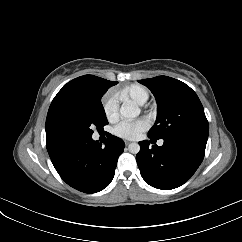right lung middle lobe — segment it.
<instances>
[{"label": "right lung middle lobe", "instance_id": "right-lung-middle-lobe-1", "mask_svg": "<svg viewBox=\"0 0 242 242\" xmlns=\"http://www.w3.org/2000/svg\"><path fill=\"white\" fill-rule=\"evenodd\" d=\"M105 93L93 97L63 96L52 101L46 119V133L53 137L77 132L92 136L95 127L99 130L108 124L101 103Z\"/></svg>", "mask_w": 242, "mask_h": 242}]
</instances>
